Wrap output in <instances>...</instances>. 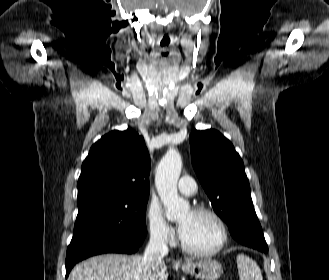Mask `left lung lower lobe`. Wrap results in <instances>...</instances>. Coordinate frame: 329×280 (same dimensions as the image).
Here are the masks:
<instances>
[{
	"instance_id": "obj_1",
	"label": "left lung lower lobe",
	"mask_w": 329,
	"mask_h": 280,
	"mask_svg": "<svg viewBox=\"0 0 329 280\" xmlns=\"http://www.w3.org/2000/svg\"><path fill=\"white\" fill-rule=\"evenodd\" d=\"M230 233L232 234L234 239H236L238 242H239V240L244 239L250 235L259 236L261 238V241L259 244L246 243L243 245L252 247V248L260 250L262 252H268V246L265 243L266 242L265 238H262V237H264V235H263L261 225H260L256 215L253 217L252 221L246 227L238 226V227L234 228L233 231Z\"/></svg>"
}]
</instances>
